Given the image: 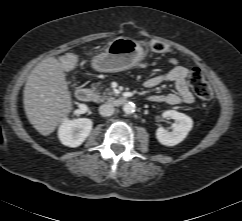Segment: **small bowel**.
<instances>
[{
  "instance_id": "small-bowel-1",
  "label": "small bowel",
  "mask_w": 242,
  "mask_h": 221,
  "mask_svg": "<svg viewBox=\"0 0 242 221\" xmlns=\"http://www.w3.org/2000/svg\"><path fill=\"white\" fill-rule=\"evenodd\" d=\"M169 64L171 67L167 72L147 79L144 86L151 89L163 82H171L174 84L176 92L150 95L149 100L152 102H163L169 105L193 103L194 96L187 83V77L190 73L189 69L175 58H171Z\"/></svg>"
}]
</instances>
